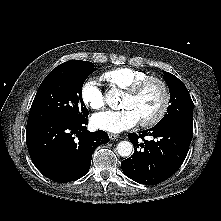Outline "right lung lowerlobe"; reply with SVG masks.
Listing matches in <instances>:
<instances>
[{
  "label": "right lung lower lobe",
  "mask_w": 221,
  "mask_h": 221,
  "mask_svg": "<svg viewBox=\"0 0 221 221\" xmlns=\"http://www.w3.org/2000/svg\"><path fill=\"white\" fill-rule=\"evenodd\" d=\"M87 118L78 122L46 121L27 124L26 141L36 168L56 182L83 177L91 165L92 153L109 142L106 132L87 131Z\"/></svg>",
  "instance_id": "obj_1"
}]
</instances>
